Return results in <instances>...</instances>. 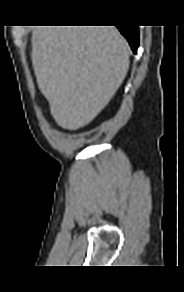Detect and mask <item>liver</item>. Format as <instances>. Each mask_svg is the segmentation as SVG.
<instances>
[{"label": "liver", "mask_w": 184, "mask_h": 292, "mask_svg": "<svg viewBox=\"0 0 184 292\" xmlns=\"http://www.w3.org/2000/svg\"><path fill=\"white\" fill-rule=\"evenodd\" d=\"M31 43L38 88L68 130L89 124L129 69V45L114 26H40Z\"/></svg>", "instance_id": "6515ba94"}]
</instances>
